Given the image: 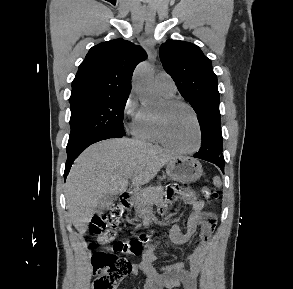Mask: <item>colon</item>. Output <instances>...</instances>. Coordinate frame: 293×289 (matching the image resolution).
Returning a JSON list of instances; mask_svg holds the SVG:
<instances>
[{"instance_id":"1","label":"colon","mask_w":293,"mask_h":289,"mask_svg":"<svg viewBox=\"0 0 293 289\" xmlns=\"http://www.w3.org/2000/svg\"><path fill=\"white\" fill-rule=\"evenodd\" d=\"M184 191L185 188L178 184L168 186V202L159 208V214H167L171 204ZM202 194L207 199L217 198V193L207 186L202 188ZM122 212V207L114 204L106 212L96 215L91 221L90 233L103 244L114 242L117 235L116 224ZM147 240V236L140 235L115 242L109 249L97 252L92 259L95 274L93 289H116L120 280L133 269L132 265L122 256L141 255Z\"/></svg>"}]
</instances>
